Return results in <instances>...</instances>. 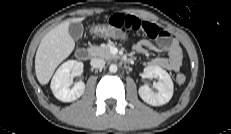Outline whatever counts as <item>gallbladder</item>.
Returning <instances> with one entry per match:
<instances>
[{"label": "gallbladder", "mask_w": 231, "mask_h": 134, "mask_svg": "<svg viewBox=\"0 0 231 134\" xmlns=\"http://www.w3.org/2000/svg\"><path fill=\"white\" fill-rule=\"evenodd\" d=\"M82 33H83V26L81 23L70 24L69 34L73 39L78 40L81 37Z\"/></svg>", "instance_id": "gallbladder-1"}]
</instances>
